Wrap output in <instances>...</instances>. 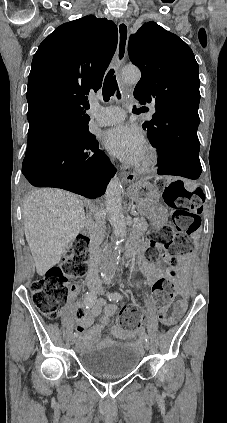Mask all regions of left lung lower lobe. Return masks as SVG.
<instances>
[{
  "instance_id": "0a47b994",
  "label": "left lung lower lobe",
  "mask_w": 227,
  "mask_h": 423,
  "mask_svg": "<svg viewBox=\"0 0 227 423\" xmlns=\"http://www.w3.org/2000/svg\"><path fill=\"white\" fill-rule=\"evenodd\" d=\"M199 122L185 121L169 133H156L150 140L159 152V175H179L198 179L202 167L197 137Z\"/></svg>"
}]
</instances>
